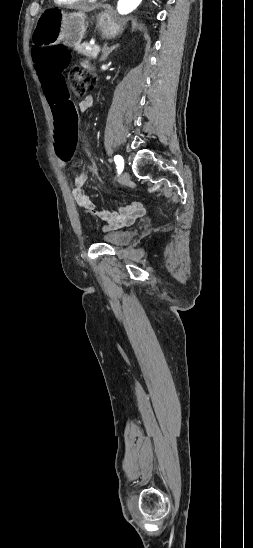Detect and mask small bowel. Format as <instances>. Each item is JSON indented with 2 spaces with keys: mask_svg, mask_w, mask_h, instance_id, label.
I'll return each mask as SVG.
<instances>
[{
  "mask_svg": "<svg viewBox=\"0 0 253 548\" xmlns=\"http://www.w3.org/2000/svg\"><path fill=\"white\" fill-rule=\"evenodd\" d=\"M93 103L94 97L92 95H87L80 101L77 110L79 109L80 111H86L92 107ZM69 159L70 157L67 159H60L57 157L58 164L61 167H65L68 164ZM87 178V174L84 172H81L75 176L73 180L74 187L72 190L73 198L80 208L105 222L108 228H119L130 225L138 217L143 215L144 206L139 201H132L125 206H120L116 210H95L94 203L83 190V185L87 181Z\"/></svg>",
  "mask_w": 253,
  "mask_h": 548,
  "instance_id": "small-bowel-1",
  "label": "small bowel"
}]
</instances>
